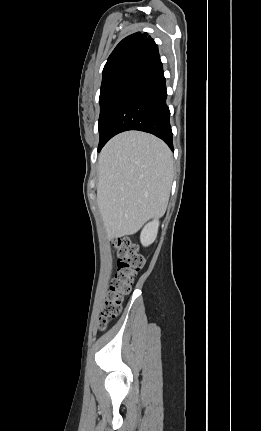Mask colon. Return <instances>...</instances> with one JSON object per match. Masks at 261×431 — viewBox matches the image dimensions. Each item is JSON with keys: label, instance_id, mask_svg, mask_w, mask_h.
Returning <instances> with one entry per match:
<instances>
[{"label": "colon", "instance_id": "5ec220e1", "mask_svg": "<svg viewBox=\"0 0 261 431\" xmlns=\"http://www.w3.org/2000/svg\"><path fill=\"white\" fill-rule=\"evenodd\" d=\"M113 248L118 257V269L99 317L100 329L120 313L123 297L130 292L134 276L144 265V257L131 239L119 238L113 242Z\"/></svg>", "mask_w": 261, "mask_h": 431}]
</instances>
